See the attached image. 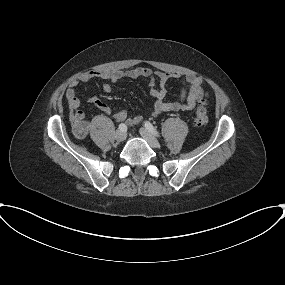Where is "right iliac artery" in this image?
Listing matches in <instances>:
<instances>
[{
  "instance_id": "1",
  "label": "right iliac artery",
  "mask_w": 285,
  "mask_h": 285,
  "mask_svg": "<svg viewBox=\"0 0 285 285\" xmlns=\"http://www.w3.org/2000/svg\"><path fill=\"white\" fill-rule=\"evenodd\" d=\"M119 130L125 132V131L127 130V126H126L124 123H121V124L119 125Z\"/></svg>"
}]
</instances>
